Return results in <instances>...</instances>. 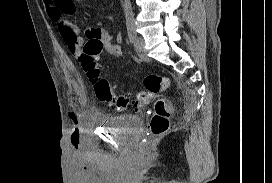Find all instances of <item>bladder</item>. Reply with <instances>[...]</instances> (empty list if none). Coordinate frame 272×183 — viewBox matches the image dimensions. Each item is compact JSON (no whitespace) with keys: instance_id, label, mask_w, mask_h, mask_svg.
<instances>
[{"instance_id":"1","label":"bladder","mask_w":272,"mask_h":183,"mask_svg":"<svg viewBox=\"0 0 272 183\" xmlns=\"http://www.w3.org/2000/svg\"><path fill=\"white\" fill-rule=\"evenodd\" d=\"M99 121L106 128L125 133H137L142 125L141 117L129 114L105 116Z\"/></svg>"}]
</instances>
